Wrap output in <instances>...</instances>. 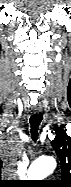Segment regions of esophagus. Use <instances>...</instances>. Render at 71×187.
<instances>
[{"instance_id":"esophagus-1","label":"esophagus","mask_w":71,"mask_h":187,"mask_svg":"<svg viewBox=\"0 0 71 187\" xmlns=\"http://www.w3.org/2000/svg\"><path fill=\"white\" fill-rule=\"evenodd\" d=\"M31 109H32V111L34 113H39L41 111V107L40 106H33Z\"/></svg>"}]
</instances>
